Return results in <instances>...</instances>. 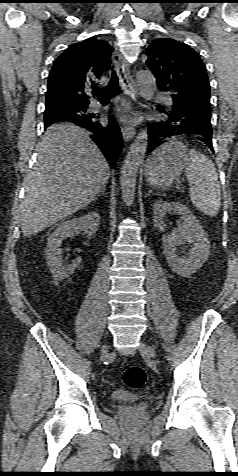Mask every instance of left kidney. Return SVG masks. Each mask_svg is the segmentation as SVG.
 Returning <instances> with one entry per match:
<instances>
[{"label":"left kidney","mask_w":238,"mask_h":476,"mask_svg":"<svg viewBox=\"0 0 238 476\" xmlns=\"http://www.w3.org/2000/svg\"><path fill=\"white\" fill-rule=\"evenodd\" d=\"M168 213L179 214L184 222L169 235H163V254L171 270L180 276L188 277L203 266L210 254L207 235L191 211L183 204L157 200L153 205L154 227L161 232L165 230L164 216ZM186 241L193 244L189 257H179L176 246Z\"/></svg>","instance_id":"1"}]
</instances>
